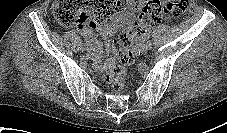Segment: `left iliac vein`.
Here are the masks:
<instances>
[{
  "instance_id": "1",
  "label": "left iliac vein",
  "mask_w": 227,
  "mask_h": 133,
  "mask_svg": "<svg viewBox=\"0 0 227 133\" xmlns=\"http://www.w3.org/2000/svg\"><path fill=\"white\" fill-rule=\"evenodd\" d=\"M149 49H150V46H149V42L147 41L144 45L141 46L140 53L142 55H145Z\"/></svg>"
}]
</instances>
